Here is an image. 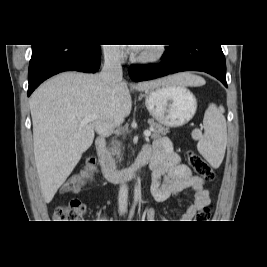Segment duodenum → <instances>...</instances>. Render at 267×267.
<instances>
[{
	"instance_id": "obj_1",
	"label": "duodenum",
	"mask_w": 267,
	"mask_h": 267,
	"mask_svg": "<svg viewBox=\"0 0 267 267\" xmlns=\"http://www.w3.org/2000/svg\"><path fill=\"white\" fill-rule=\"evenodd\" d=\"M95 147H96L97 160L102 176L104 177V179L111 182H121L133 178L135 172L140 168L144 167L149 162L148 157L139 156L131 166L124 169H116L112 167L108 161L106 154L105 137L99 136L96 139Z\"/></svg>"
}]
</instances>
